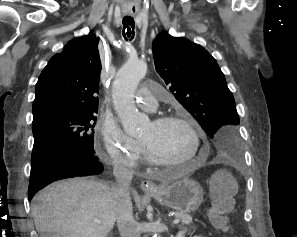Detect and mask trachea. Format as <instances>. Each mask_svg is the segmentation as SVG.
<instances>
[{
  "label": "trachea",
  "instance_id": "1",
  "mask_svg": "<svg viewBox=\"0 0 297 237\" xmlns=\"http://www.w3.org/2000/svg\"><path fill=\"white\" fill-rule=\"evenodd\" d=\"M123 36L125 40H132L134 38L135 32H134V27H135V22L132 17H124L123 18Z\"/></svg>",
  "mask_w": 297,
  "mask_h": 237
}]
</instances>
